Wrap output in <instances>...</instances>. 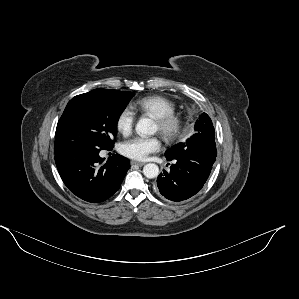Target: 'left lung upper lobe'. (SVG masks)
I'll use <instances>...</instances> for the list:
<instances>
[{
    "label": "left lung upper lobe",
    "instance_id": "obj_1",
    "mask_svg": "<svg viewBox=\"0 0 299 299\" xmlns=\"http://www.w3.org/2000/svg\"><path fill=\"white\" fill-rule=\"evenodd\" d=\"M205 148V149H204ZM194 152L202 150L215 162L217 155L215 130L210 117L203 113L196 121L193 134L184 142L178 143L165 152V157H173L181 151Z\"/></svg>",
    "mask_w": 299,
    "mask_h": 299
}]
</instances>
